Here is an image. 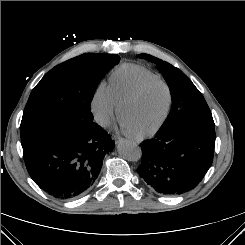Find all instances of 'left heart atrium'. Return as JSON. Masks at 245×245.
Returning a JSON list of instances; mask_svg holds the SVG:
<instances>
[{
	"instance_id": "left-heart-atrium-1",
	"label": "left heart atrium",
	"mask_w": 245,
	"mask_h": 245,
	"mask_svg": "<svg viewBox=\"0 0 245 245\" xmlns=\"http://www.w3.org/2000/svg\"><path fill=\"white\" fill-rule=\"evenodd\" d=\"M121 126L122 128L127 131L129 134H134L135 132L127 125L126 121L123 119V117H121L120 120Z\"/></svg>"
}]
</instances>
